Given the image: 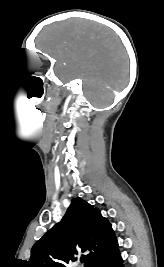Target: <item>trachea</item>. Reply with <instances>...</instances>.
<instances>
[{
  "label": "trachea",
  "mask_w": 164,
  "mask_h": 267,
  "mask_svg": "<svg viewBox=\"0 0 164 267\" xmlns=\"http://www.w3.org/2000/svg\"><path fill=\"white\" fill-rule=\"evenodd\" d=\"M85 260H86L85 258H82V259H81V262H82V263H84V262H85Z\"/></svg>",
  "instance_id": "3493384b"
}]
</instances>
